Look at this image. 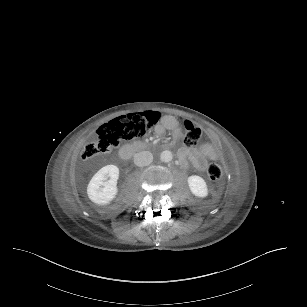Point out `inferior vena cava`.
Instances as JSON below:
<instances>
[{"label":"inferior vena cava","instance_id":"obj_1","mask_svg":"<svg viewBox=\"0 0 307 307\" xmlns=\"http://www.w3.org/2000/svg\"><path fill=\"white\" fill-rule=\"evenodd\" d=\"M153 161V155L149 151H141L134 155V164L138 167L148 166Z\"/></svg>","mask_w":307,"mask_h":307}]
</instances>
